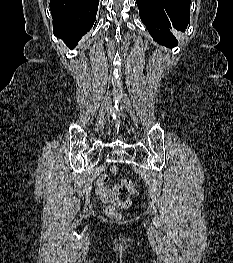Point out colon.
I'll return each instance as SVG.
<instances>
[{"instance_id": "1", "label": "colon", "mask_w": 233, "mask_h": 263, "mask_svg": "<svg viewBox=\"0 0 233 263\" xmlns=\"http://www.w3.org/2000/svg\"><path fill=\"white\" fill-rule=\"evenodd\" d=\"M111 172L113 174H117L118 168L116 166L111 167ZM121 188L127 189L131 194L137 195L138 190L134 187L133 183L129 179H124L120 183ZM130 205V200H124L119 206H108L106 209V213L109 217L118 220L121 218V214L119 212L120 209L127 208Z\"/></svg>"}]
</instances>
